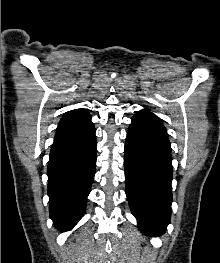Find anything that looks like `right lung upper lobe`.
I'll list each match as a JSON object with an SVG mask.
<instances>
[{
	"label": "right lung upper lobe",
	"instance_id": "obj_1",
	"mask_svg": "<svg viewBox=\"0 0 220 263\" xmlns=\"http://www.w3.org/2000/svg\"><path fill=\"white\" fill-rule=\"evenodd\" d=\"M93 128L90 114L84 109H75L67 112L60 120L57 133L63 135H78Z\"/></svg>",
	"mask_w": 220,
	"mask_h": 263
}]
</instances>
